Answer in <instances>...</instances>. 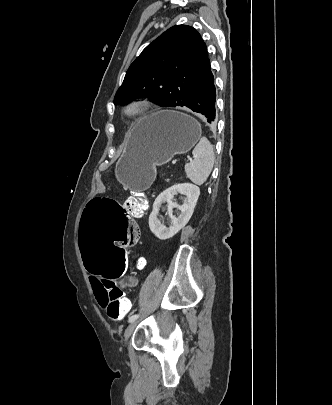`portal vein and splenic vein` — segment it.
<instances>
[{
	"label": "portal vein and splenic vein",
	"instance_id": "obj_1",
	"mask_svg": "<svg viewBox=\"0 0 332 405\" xmlns=\"http://www.w3.org/2000/svg\"><path fill=\"white\" fill-rule=\"evenodd\" d=\"M188 160H192V158H188ZM175 164V162H173Z\"/></svg>",
	"mask_w": 332,
	"mask_h": 405
}]
</instances>
